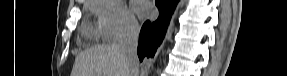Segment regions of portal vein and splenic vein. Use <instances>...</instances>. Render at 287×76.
<instances>
[{
  "label": "portal vein and splenic vein",
  "mask_w": 287,
  "mask_h": 76,
  "mask_svg": "<svg viewBox=\"0 0 287 76\" xmlns=\"http://www.w3.org/2000/svg\"><path fill=\"white\" fill-rule=\"evenodd\" d=\"M107 76H113V75H111V74H110V75H108V74H107Z\"/></svg>",
  "instance_id": "portal-vein-and-splenic-vein-1"
}]
</instances>
